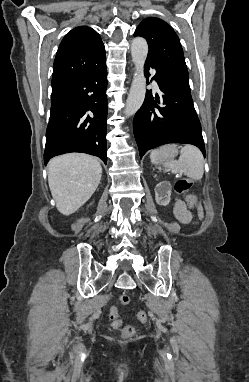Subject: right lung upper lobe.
<instances>
[{"label": "right lung upper lobe", "mask_w": 249, "mask_h": 382, "mask_svg": "<svg viewBox=\"0 0 249 382\" xmlns=\"http://www.w3.org/2000/svg\"><path fill=\"white\" fill-rule=\"evenodd\" d=\"M104 56V44L95 30L80 26L68 32L54 61L52 98L85 76Z\"/></svg>", "instance_id": "1"}]
</instances>
